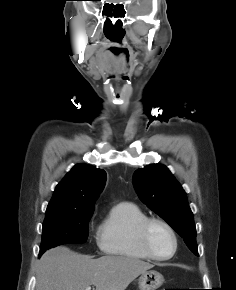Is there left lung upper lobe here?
Returning <instances> with one entry per match:
<instances>
[{"label":"left lung upper lobe","mask_w":236,"mask_h":290,"mask_svg":"<svg viewBox=\"0 0 236 290\" xmlns=\"http://www.w3.org/2000/svg\"><path fill=\"white\" fill-rule=\"evenodd\" d=\"M135 189L140 199L164 219L198 256L196 228L186 193L169 169L151 164L135 171Z\"/></svg>","instance_id":"1"}]
</instances>
